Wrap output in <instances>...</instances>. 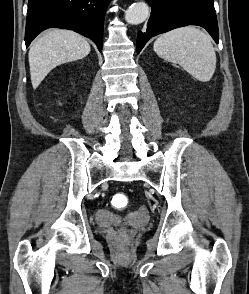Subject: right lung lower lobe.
<instances>
[{"mask_svg":"<svg viewBox=\"0 0 249 294\" xmlns=\"http://www.w3.org/2000/svg\"><path fill=\"white\" fill-rule=\"evenodd\" d=\"M111 0H29L26 47L43 30L55 27L78 32L102 51L105 10Z\"/></svg>","mask_w":249,"mask_h":294,"instance_id":"1","label":"right lung lower lobe"}]
</instances>
